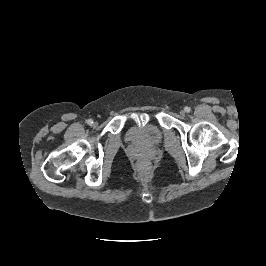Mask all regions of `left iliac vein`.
Listing matches in <instances>:
<instances>
[{
	"mask_svg": "<svg viewBox=\"0 0 266 266\" xmlns=\"http://www.w3.org/2000/svg\"><path fill=\"white\" fill-rule=\"evenodd\" d=\"M180 115H181V116H185V111H184V110H181V111H180Z\"/></svg>",
	"mask_w": 266,
	"mask_h": 266,
	"instance_id": "left-iliac-vein-1",
	"label": "left iliac vein"
}]
</instances>
